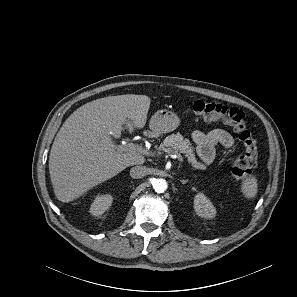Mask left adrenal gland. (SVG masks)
I'll list each match as a JSON object with an SVG mask.
<instances>
[{"label": "left adrenal gland", "mask_w": 297, "mask_h": 297, "mask_svg": "<svg viewBox=\"0 0 297 297\" xmlns=\"http://www.w3.org/2000/svg\"><path fill=\"white\" fill-rule=\"evenodd\" d=\"M188 182V180H181L182 184H186Z\"/></svg>", "instance_id": "obj_1"}]
</instances>
